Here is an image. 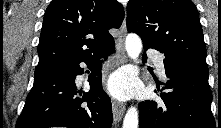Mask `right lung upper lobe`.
I'll return each mask as SVG.
<instances>
[{
    "label": "right lung upper lobe",
    "mask_w": 221,
    "mask_h": 128,
    "mask_svg": "<svg viewBox=\"0 0 221 128\" xmlns=\"http://www.w3.org/2000/svg\"><path fill=\"white\" fill-rule=\"evenodd\" d=\"M123 19V6L116 0H53L43 20L35 74L96 55L114 43L108 30L119 28Z\"/></svg>",
    "instance_id": "1"
}]
</instances>
